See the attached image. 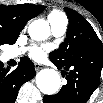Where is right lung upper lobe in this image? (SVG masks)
<instances>
[{"label": "right lung upper lobe", "instance_id": "1", "mask_svg": "<svg viewBox=\"0 0 103 103\" xmlns=\"http://www.w3.org/2000/svg\"><path fill=\"white\" fill-rule=\"evenodd\" d=\"M45 9L34 4L0 5V31L8 36H19L26 23Z\"/></svg>", "mask_w": 103, "mask_h": 103}]
</instances>
